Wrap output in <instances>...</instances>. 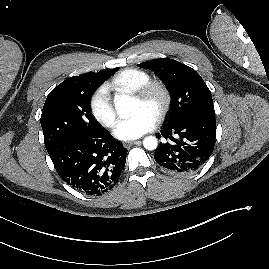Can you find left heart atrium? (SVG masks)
<instances>
[{"label":"left heart atrium","mask_w":269,"mask_h":269,"mask_svg":"<svg viewBox=\"0 0 269 269\" xmlns=\"http://www.w3.org/2000/svg\"><path fill=\"white\" fill-rule=\"evenodd\" d=\"M157 119L151 112L141 109L130 118L121 120L115 128V136L122 140H133L151 131Z\"/></svg>","instance_id":"1"}]
</instances>
